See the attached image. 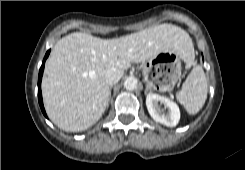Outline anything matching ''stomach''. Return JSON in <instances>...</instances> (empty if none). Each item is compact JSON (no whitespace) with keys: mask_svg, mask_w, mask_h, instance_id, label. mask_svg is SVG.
Instances as JSON below:
<instances>
[{"mask_svg":"<svg viewBox=\"0 0 245 170\" xmlns=\"http://www.w3.org/2000/svg\"><path fill=\"white\" fill-rule=\"evenodd\" d=\"M183 57L173 50L161 52L143 64L147 87L160 92L170 91L182 76Z\"/></svg>","mask_w":245,"mask_h":170,"instance_id":"1","label":"stomach"}]
</instances>
